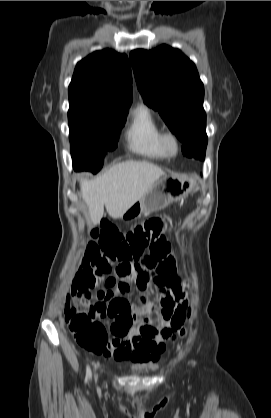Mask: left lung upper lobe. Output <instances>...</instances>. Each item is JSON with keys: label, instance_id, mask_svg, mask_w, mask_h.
Masks as SVG:
<instances>
[{"label": "left lung upper lobe", "instance_id": "left-lung-upper-lobe-1", "mask_svg": "<svg viewBox=\"0 0 271 418\" xmlns=\"http://www.w3.org/2000/svg\"><path fill=\"white\" fill-rule=\"evenodd\" d=\"M137 87L178 139L187 157L203 160L207 146L204 86L195 64L180 50L162 45L130 53Z\"/></svg>", "mask_w": 271, "mask_h": 418}]
</instances>
